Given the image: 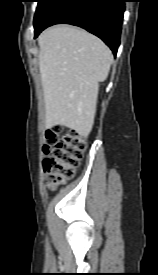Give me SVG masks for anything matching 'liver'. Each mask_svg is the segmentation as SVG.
I'll list each match as a JSON object with an SVG mask.
<instances>
[{"mask_svg":"<svg viewBox=\"0 0 158 275\" xmlns=\"http://www.w3.org/2000/svg\"><path fill=\"white\" fill-rule=\"evenodd\" d=\"M45 127L60 125L87 137L94 124L99 82L113 62L96 36L71 26H54L38 37Z\"/></svg>","mask_w":158,"mask_h":275,"instance_id":"obj_1","label":"liver"}]
</instances>
